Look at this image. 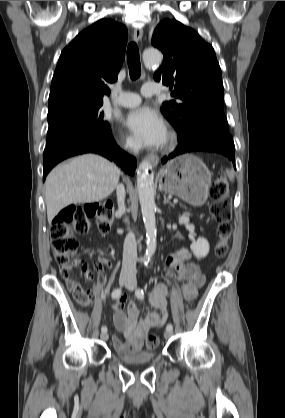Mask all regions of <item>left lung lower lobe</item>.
Masks as SVG:
<instances>
[{
	"mask_svg": "<svg viewBox=\"0 0 285 418\" xmlns=\"http://www.w3.org/2000/svg\"><path fill=\"white\" fill-rule=\"evenodd\" d=\"M192 151L220 153L227 156L233 164L235 163V146L232 136L218 130H205L184 142H179L176 150L162 158L161 162L164 164L175 156Z\"/></svg>",
	"mask_w": 285,
	"mask_h": 418,
	"instance_id": "1",
	"label": "left lung lower lobe"
}]
</instances>
